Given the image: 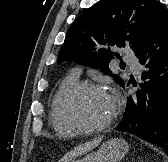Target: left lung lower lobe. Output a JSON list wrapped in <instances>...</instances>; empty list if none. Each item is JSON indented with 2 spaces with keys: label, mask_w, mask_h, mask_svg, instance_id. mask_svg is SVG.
<instances>
[{
  "label": "left lung lower lobe",
  "mask_w": 168,
  "mask_h": 162,
  "mask_svg": "<svg viewBox=\"0 0 168 162\" xmlns=\"http://www.w3.org/2000/svg\"><path fill=\"white\" fill-rule=\"evenodd\" d=\"M146 70L136 96L129 97L118 131L164 147L168 154V14L135 52Z\"/></svg>",
  "instance_id": "left-lung-lower-lobe-1"
}]
</instances>
